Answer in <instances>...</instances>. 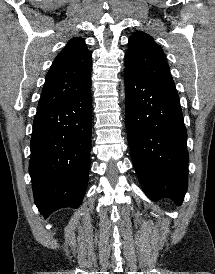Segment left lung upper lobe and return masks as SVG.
Segmentation results:
<instances>
[{"instance_id":"5c2ea615","label":"left lung upper lobe","mask_w":215,"mask_h":274,"mask_svg":"<svg viewBox=\"0 0 215 274\" xmlns=\"http://www.w3.org/2000/svg\"><path fill=\"white\" fill-rule=\"evenodd\" d=\"M128 45L125 70L175 88L166 55L150 35L137 31L129 38Z\"/></svg>"}]
</instances>
